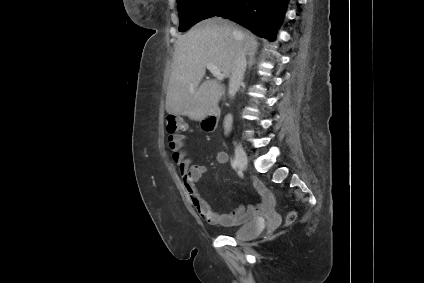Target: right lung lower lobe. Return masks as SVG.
Returning a JSON list of instances; mask_svg holds the SVG:
<instances>
[{
	"label": "right lung lower lobe",
	"mask_w": 424,
	"mask_h": 283,
	"mask_svg": "<svg viewBox=\"0 0 424 283\" xmlns=\"http://www.w3.org/2000/svg\"><path fill=\"white\" fill-rule=\"evenodd\" d=\"M288 0H234L231 6L216 15L230 19L272 41L283 17Z\"/></svg>",
	"instance_id": "1"
}]
</instances>
